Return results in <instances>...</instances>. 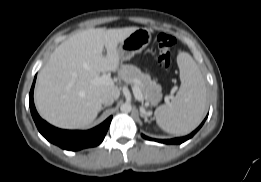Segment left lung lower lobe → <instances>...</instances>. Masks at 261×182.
<instances>
[{
    "label": "left lung lower lobe",
    "instance_id": "0a47b994",
    "mask_svg": "<svg viewBox=\"0 0 261 182\" xmlns=\"http://www.w3.org/2000/svg\"><path fill=\"white\" fill-rule=\"evenodd\" d=\"M204 121L201 123V125L196 130H194L191 134H189V135H187L185 137L168 139V140L152 139V138L146 137L145 135H142V137L145 138V139H148V140H154V141H157V142H160V143H165V144H181L184 141L190 139L201 128V126L203 125Z\"/></svg>",
    "mask_w": 261,
    "mask_h": 182
}]
</instances>
